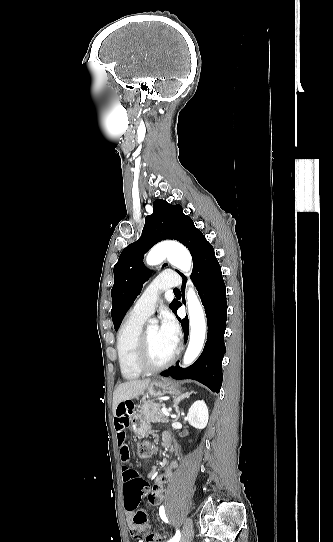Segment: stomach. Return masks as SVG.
I'll return each instance as SVG.
<instances>
[{
    "instance_id": "0dacf381",
    "label": "stomach",
    "mask_w": 333,
    "mask_h": 542,
    "mask_svg": "<svg viewBox=\"0 0 333 542\" xmlns=\"http://www.w3.org/2000/svg\"><path fill=\"white\" fill-rule=\"evenodd\" d=\"M185 390L186 388H181L178 382H173V380H155V382H151L148 388H146L144 396H151V398H160V396H165V394H172V396L176 394V396H179V394H185ZM136 420H140V418L136 416ZM136 420L131 424L134 431L132 437L134 440L139 441L143 436L147 435V430H149L150 426L146 422H136Z\"/></svg>"
}]
</instances>
